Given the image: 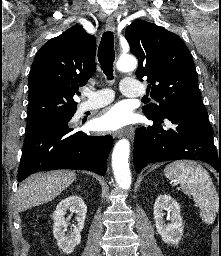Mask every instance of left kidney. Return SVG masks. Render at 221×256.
I'll list each match as a JSON object with an SVG mask.
<instances>
[{"mask_svg":"<svg viewBox=\"0 0 221 256\" xmlns=\"http://www.w3.org/2000/svg\"><path fill=\"white\" fill-rule=\"evenodd\" d=\"M163 210L171 212V216L166 218L171 221L168 224L163 219ZM180 211V205L170 195H160L155 201L153 211L155 226L162 240L167 244L177 245L183 235Z\"/></svg>","mask_w":221,"mask_h":256,"instance_id":"left-kidney-1","label":"left kidney"}]
</instances>
